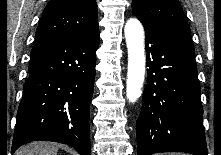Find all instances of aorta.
<instances>
[{
	"label": "aorta",
	"mask_w": 221,
	"mask_h": 155,
	"mask_svg": "<svg viewBox=\"0 0 221 155\" xmlns=\"http://www.w3.org/2000/svg\"><path fill=\"white\" fill-rule=\"evenodd\" d=\"M128 50L126 95L134 103L141 96L145 75L144 30L138 19H129L124 28Z\"/></svg>",
	"instance_id": "1"
}]
</instances>
